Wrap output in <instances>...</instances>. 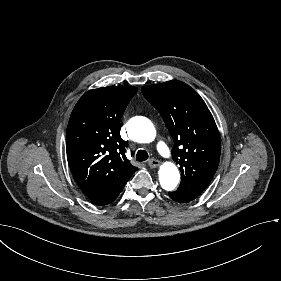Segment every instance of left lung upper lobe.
Returning a JSON list of instances; mask_svg holds the SVG:
<instances>
[{
	"label": "left lung upper lobe",
	"instance_id": "obj_1",
	"mask_svg": "<svg viewBox=\"0 0 281 281\" xmlns=\"http://www.w3.org/2000/svg\"><path fill=\"white\" fill-rule=\"evenodd\" d=\"M141 91L173 137L172 157L182 173L179 189L199 195L220 160V135L212 114L197 92L178 80L144 86Z\"/></svg>",
	"mask_w": 281,
	"mask_h": 281
}]
</instances>
